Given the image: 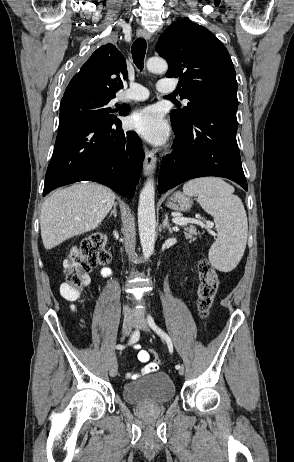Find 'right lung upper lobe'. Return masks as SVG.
<instances>
[{"label": "right lung upper lobe", "instance_id": "right-lung-upper-lobe-1", "mask_svg": "<svg viewBox=\"0 0 294 462\" xmlns=\"http://www.w3.org/2000/svg\"><path fill=\"white\" fill-rule=\"evenodd\" d=\"M124 79L126 60L115 45L108 43L99 47L75 74L64 97L81 93L115 96L123 88Z\"/></svg>", "mask_w": 294, "mask_h": 462}]
</instances>
